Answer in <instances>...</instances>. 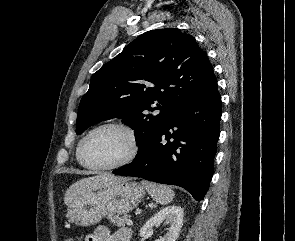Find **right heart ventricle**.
Listing matches in <instances>:
<instances>
[{
    "mask_svg": "<svg viewBox=\"0 0 295 241\" xmlns=\"http://www.w3.org/2000/svg\"><path fill=\"white\" fill-rule=\"evenodd\" d=\"M82 140V139H81ZM81 140L79 141L78 145H77V148H76V158L78 160V149H79V146H80V143H81ZM79 161V160H78Z\"/></svg>",
    "mask_w": 295,
    "mask_h": 241,
    "instance_id": "right-heart-ventricle-1",
    "label": "right heart ventricle"
}]
</instances>
